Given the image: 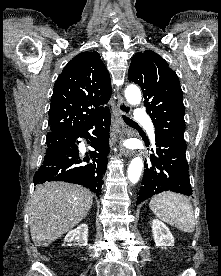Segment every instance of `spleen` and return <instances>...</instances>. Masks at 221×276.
<instances>
[{"mask_svg":"<svg viewBox=\"0 0 221 276\" xmlns=\"http://www.w3.org/2000/svg\"><path fill=\"white\" fill-rule=\"evenodd\" d=\"M149 207L156 217L186 233L195 229V218L190 201L183 195L163 192L154 196Z\"/></svg>","mask_w":221,"mask_h":276,"instance_id":"1","label":"spleen"}]
</instances>
